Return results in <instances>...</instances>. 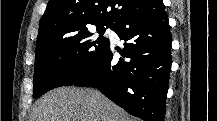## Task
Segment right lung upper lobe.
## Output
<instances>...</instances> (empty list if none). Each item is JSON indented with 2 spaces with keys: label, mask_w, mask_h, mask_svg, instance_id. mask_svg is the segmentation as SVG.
<instances>
[{
  "label": "right lung upper lobe",
  "mask_w": 217,
  "mask_h": 121,
  "mask_svg": "<svg viewBox=\"0 0 217 121\" xmlns=\"http://www.w3.org/2000/svg\"><path fill=\"white\" fill-rule=\"evenodd\" d=\"M144 0H49L39 24L37 45L54 42L95 24L115 25Z\"/></svg>",
  "instance_id": "right-lung-upper-lobe-1"
}]
</instances>
